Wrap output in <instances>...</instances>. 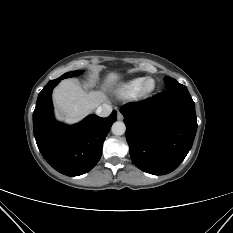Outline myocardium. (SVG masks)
Returning a JSON list of instances; mask_svg holds the SVG:
<instances>
[{
    "instance_id": "obj_1",
    "label": "myocardium",
    "mask_w": 233,
    "mask_h": 233,
    "mask_svg": "<svg viewBox=\"0 0 233 233\" xmlns=\"http://www.w3.org/2000/svg\"><path fill=\"white\" fill-rule=\"evenodd\" d=\"M156 89V82L152 78H145L144 82L141 85V88L138 92L140 97H147L152 94Z\"/></svg>"
}]
</instances>
